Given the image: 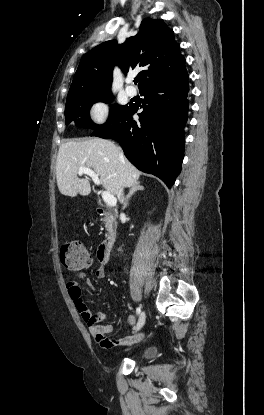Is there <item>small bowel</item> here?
Here are the masks:
<instances>
[{
  "label": "small bowel",
  "instance_id": "c3829d8e",
  "mask_svg": "<svg viewBox=\"0 0 264 415\" xmlns=\"http://www.w3.org/2000/svg\"><path fill=\"white\" fill-rule=\"evenodd\" d=\"M85 267L77 268L78 275L76 278L69 279L66 282V289L72 301L74 302L77 311L81 314L83 320L88 323V330L94 339L98 342L101 347L111 349L114 347H121L133 344L141 340L145 334L133 333L126 335L120 338H108L107 335L114 332V325L112 324H99L98 321L106 318V314L103 313H94L91 314L83 301L82 298V286L81 283L86 280V275L84 273ZM94 276L97 279H102L106 276V270L104 266L100 265L96 268ZM135 317L133 315H128L124 318V323L126 325H132L134 323Z\"/></svg>",
  "mask_w": 264,
  "mask_h": 415
}]
</instances>
